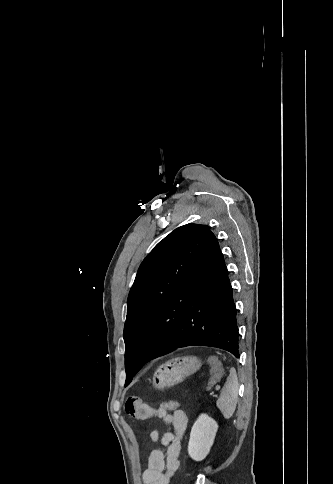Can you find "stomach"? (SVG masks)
Listing matches in <instances>:
<instances>
[{"instance_id":"0dacf381","label":"stomach","mask_w":333,"mask_h":484,"mask_svg":"<svg viewBox=\"0 0 333 484\" xmlns=\"http://www.w3.org/2000/svg\"><path fill=\"white\" fill-rule=\"evenodd\" d=\"M200 366L201 362L195 356L170 359L156 368L153 375V385L159 390L171 387L195 373Z\"/></svg>"}]
</instances>
